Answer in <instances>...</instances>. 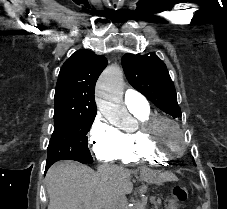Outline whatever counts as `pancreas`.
Returning a JSON list of instances; mask_svg holds the SVG:
<instances>
[{"label": "pancreas", "mask_w": 227, "mask_h": 209, "mask_svg": "<svg viewBox=\"0 0 227 209\" xmlns=\"http://www.w3.org/2000/svg\"><path fill=\"white\" fill-rule=\"evenodd\" d=\"M152 209H157V207L156 206H153Z\"/></svg>", "instance_id": "pancreas-1"}]
</instances>
